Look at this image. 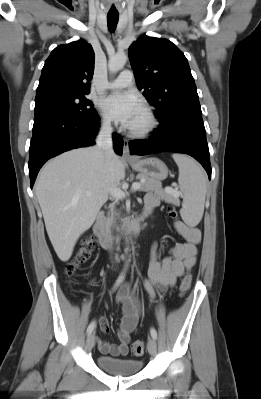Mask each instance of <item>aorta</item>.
I'll return each mask as SVG.
<instances>
[{"label": "aorta", "instance_id": "1", "mask_svg": "<svg viewBox=\"0 0 261 399\" xmlns=\"http://www.w3.org/2000/svg\"><path fill=\"white\" fill-rule=\"evenodd\" d=\"M128 60V56L125 53L116 54L111 56L108 61V69L111 73L120 71Z\"/></svg>", "mask_w": 261, "mask_h": 399}]
</instances>
